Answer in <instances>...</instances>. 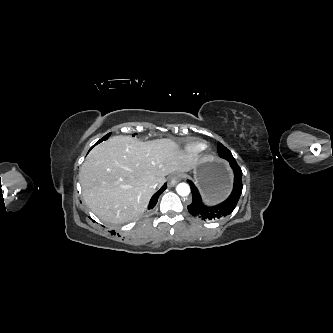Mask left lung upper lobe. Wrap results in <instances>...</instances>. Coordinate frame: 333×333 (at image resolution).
I'll return each instance as SVG.
<instances>
[{
  "label": "left lung upper lobe",
  "mask_w": 333,
  "mask_h": 333,
  "mask_svg": "<svg viewBox=\"0 0 333 333\" xmlns=\"http://www.w3.org/2000/svg\"><path fill=\"white\" fill-rule=\"evenodd\" d=\"M218 153L220 157L226 159L227 161L235 160L231 152L221 143H218Z\"/></svg>",
  "instance_id": "5c2ea615"
}]
</instances>
